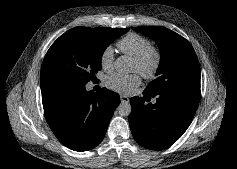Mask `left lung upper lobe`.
<instances>
[{"mask_svg": "<svg viewBox=\"0 0 237 169\" xmlns=\"http://www.w3.org/2000/svg\"><path fill=\"white\" fill-rule=\"evenodd\" d=\"M133 30L155 40L160 49L157 78L146 87V94L156 95L168 89L200 91L199 62L185 38L165 27H135Z\"/></svg>", "mask_w": 237, "mask_h": 169, "instance_id": "1", "label": "left lung upper lobe"}]
</instances>
